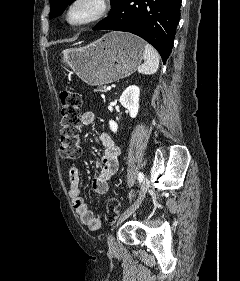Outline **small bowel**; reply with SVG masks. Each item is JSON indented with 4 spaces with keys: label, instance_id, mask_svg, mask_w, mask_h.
I'll use <instances>...</instances> for the list:
<instances>
[{
    "label": "small bowel",
    "instance_id": "1",
    "mask_svg": "<svg viewBox=\"0 0 240 281\" xmlns=\"http://www.w3.org/2000/svg\"><path fill=\"white\" fill-rule=\"evenodd\" d=\"M94 119L95 114L86 111L81 116V123L88 126L94 122ZM99 139L103 152L101 160L97 163V174L92 179L91 186L95 193L103 195L108 192L109 181L117 172L120 148L108 133L102 132ZM69 183V196L81 222L91 230H97L101 226V218L94 215L81 195L80 171L76 166L69 169Z\"/></svg>",
    "mask_w": 240,
    "mask_h": 281
}]
</instances>
